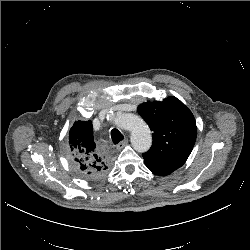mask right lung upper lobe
I'll list each match as a JSON object with an SVG mask.
<instances>
[{
	"mask_svg": "<svg viewBox=\"0 0 250 250\" xmlns=\"http://www.w3.org/2000/svg\"><path fill=\"white\" fill-rule=\"evenodd\" d=\"M68 149L73 163L83 170L109 167L108 157L96 147L90 120L73 124L69 132Z\"/></svg>",
	"mask_w": 250,
	"mask_h": 250,
	"instance_id": "obj_1",
	"label": "right lung upper lobe"
}]
</instances>
